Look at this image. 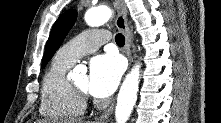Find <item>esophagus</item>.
Returning a JSON list of instances; mask_svg holds the SVG:
<instances>
[{
  "label": "esophagus",
  "instance_id": "obj_1",
  "mask_svg": "<svg viewBox=\"0 0 221 123\" xmlns=\"http://www.w3.org/2000/svg\"><path fill=\"white\" fill-rule=\"evenodd\" d=\"M114 7L117 12L115 24L117 28L123 32L125 36V47L124 52L128 58L129 64L132 62V54H131V34L127 22V9L123 0H116L114 2ZM114 103H112L102 114L101 116L94 121V123L105 122L113 111Z\"/></svg>",
  "mask_w": 221,
  "mask_h": 123
}]
</instances>
